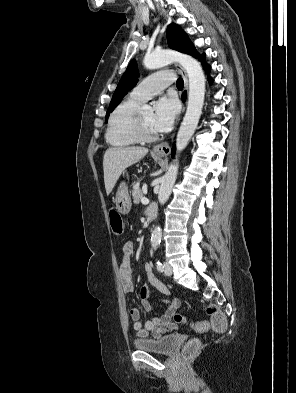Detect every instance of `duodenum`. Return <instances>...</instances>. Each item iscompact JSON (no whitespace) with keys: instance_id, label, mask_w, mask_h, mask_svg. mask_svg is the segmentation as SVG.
Wrapping results in <instances>:
<instances>
[{"instance_id":"410a0bca","label":"duodenum","mask_w":296,"mask_h":393,"mask_svg":"<svg viewBox=\"0 0 296 393\" xmlns=\"http://www.w3.org/2000/svg\"><path fill=\"white\" fill-rule=\"evenodd\" d=\"M157 205H151L147 208L146 217L148 221H152L157 216Z\"/></svg>"}]
</instances>
